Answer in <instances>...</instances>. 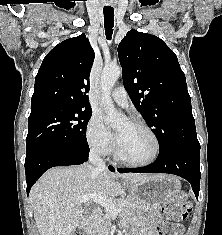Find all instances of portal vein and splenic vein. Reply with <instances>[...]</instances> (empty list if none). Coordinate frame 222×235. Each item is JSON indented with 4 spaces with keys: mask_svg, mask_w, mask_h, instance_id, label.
Returning a JSON list of instances; mask_svg holds the SVG:
<instances>
[{
    "mask_svg": "<svg viewBox=\"0 0 222 235\" xmlns=\"http://www.w3.org/2000/svg\"><path fill=\"white\" fill-rule=\"evenodd\" d=\"M92 200L104 207L105 211L111 216H117L118 213L123 209V205H116L111 200L103 197L99 194L92 193L79 197L80 202H86Z\"/></svg>",
    "mask_w": 222,
    "mask_h": 235,
    "instance_id": "portal-vein-and-splenic-vein-1",
    "label": "portal vein and splenic vein"
}]
</instances>
